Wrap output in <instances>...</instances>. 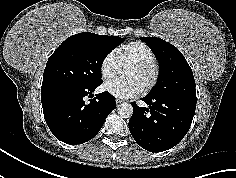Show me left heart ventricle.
Wrapping results in <instances>:
<instances>
[{
    "label": "left heart ventricle",
    "mask_w": 236,
    "mask_h": 178,
    "mask_svg": "<svg viewBox=\"0 0 236 178\" xmlns=\"http://www.w3.org/2000/svg\"><path fill=\"white\" fill-rule=\"evenodd\" d=\"M124 76L127 79L136 80L142 87H144L145 84L149 81L151 74L137 68L128 67L125 71Z\"/></svg>",
    "instance_id": "b2bd125f"
}]
</instances>
